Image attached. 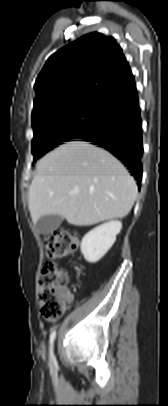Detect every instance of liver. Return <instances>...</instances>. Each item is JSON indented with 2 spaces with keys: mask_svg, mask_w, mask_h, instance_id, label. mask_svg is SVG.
<instances>
[{
  "mask_svg": "<svg viewBox=\"0 0 168 406\" xmlns=\"http://www.w3.org/2000/svg\"><path fill=\"white\" fill-rule=\"evenodd\" d=\"M136 197L135 180L120 161L88 142L71 141L38 161L28 204L33 223L59 215L87 226L127 216Z\"/></svg>",
  "mask_w": 168,
  "mask_h": 406,
  "instance_id": "6515ba94",
  "label": "liver"
}]
</instances>
